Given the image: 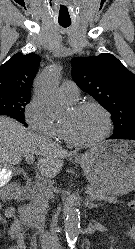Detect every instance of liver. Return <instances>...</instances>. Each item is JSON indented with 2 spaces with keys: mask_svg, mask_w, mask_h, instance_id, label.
Returning a JSON list of instances; mask_svg holds the SVG:
<instances>
[{
  "mask_svg": "<svg viewBox=\"0 0 135 249\" xmlns=\"http://www.w3.org/2000/svg\"><path fill=\"white\" fill-rule=\"evenodd\" d=\"M76 152H68L50 141L25 128L16 120L0 116V162L19 164L22 157L39 156L38 169L47 178H54L62 169L63 159ZM6 183L0 178V187Z\"/></svg>",
  "mask_w": 135,
  "mask_h": 249,
  "instance_id": "liver-1",
  "label": "liver"
}]
</instances>
